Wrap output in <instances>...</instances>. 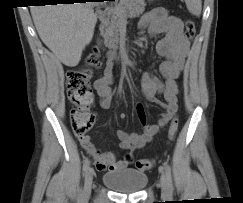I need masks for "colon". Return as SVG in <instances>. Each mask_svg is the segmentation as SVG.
<instances>
[{"label":"colon","mask_w":243,"mask_h":203,"mask_svg":"<svg viewBox=\"0 0 243 203\" xmlns=\"http://www.w3.org/2000/svg\"><path fill=\"white\" fill-rule=\"evenodd\" d=\"M196 34L195 24L192 20L185 21V36L188 40L194 38ZM87 63L91 68H100L102 61L98 49H94L87 58ZM92 71L90 68H74L67 72L66 87L67 96L73 104L70 111L71 127L77 138H84L91 129L95 115L89 106L92 101L91 81ZM178 120L171 121L169 127V139L173 140L178 131ZM155 165L153 159H139L136 161V168L141 171L151 169Z\"/></svg>","instance_id":"1"}]
</instances>
